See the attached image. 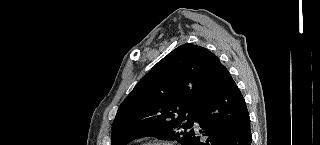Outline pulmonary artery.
Here are the masks:
<instances>
[{
  "label": "pulmonary artery",
  "instance_id": "obj_1",
  "mask_svg": "<svg viewBox=\"0 0 320 145\" xmlns=\"http://www.w3.org/2000/svg\"><path fill=\"white\" fill-rule=\"evenodd\" d=\"M194 125H195L196 128H198V123H195Z\"/></svg>",
  "mask_w": 320,
  "mask_h": 145
}]
</instances>
